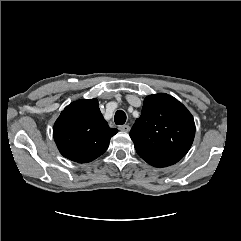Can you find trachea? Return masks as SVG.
Masks as SVG:
<instances>
[{
  "label": "trachea",
  "instance_id": "obj_1",
  "mask_svg": "<svg viewBox=\"0 0 241 241\" xmlns=\"http://www.w3.org/2000/svg\"><path fill=\"white\" fill-rule=\"evenodd\" d=\"M115 124L123 125L126 122V114L122 110H118L114 116Z\"/></svg>",
  "mask_w": 241,
  "mask_h": 241
}]
</instances>
